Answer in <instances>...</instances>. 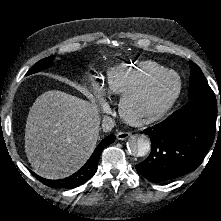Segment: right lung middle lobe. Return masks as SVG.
I'll return each instance as SVG.
<instances>
[{
    "label": "right lung middle lobe",
    "mask_w": 221,
    "mask_h": 221,
    "mask_svg": "<svg viewBox=\"0 0 221 221\" xmlns=\"http://www.w3.org/2000/svg\"><path fill=\"white\" fill-rule=\"evenodd\" d=\"M54 60V56H50L47 58H44L42 60H40L39 62H37L28 72L26 75H30L36 72H39L42 69H46L49 66L52 65V61Z\"/></svg>",
    "instance_id": "1"
}]
</instances>
